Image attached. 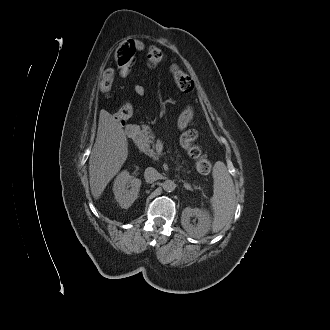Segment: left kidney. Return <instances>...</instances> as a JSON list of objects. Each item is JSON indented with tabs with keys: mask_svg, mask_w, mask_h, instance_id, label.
Instances as JSON below:
<instances>
[{
	"mask_svg": "<svg viewBox=\"0 0 330 330\" xmlns=\"http://www.w3.org/2000/svg\"><path fill=\"white\" fill-rule=\"evenodd\" d=\"M191 217L198 220L197 225L190 223ZM181 224L192 237H203L211 227V217L206 210L187 207L182 211Z\"/></svg>",
	"mask_w": 330,
	"mask_h": 330,
	"instance_id": "5707ae66",
	"label": "left kidney"
}]
</instances>
